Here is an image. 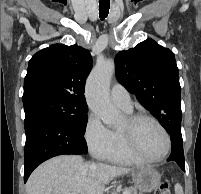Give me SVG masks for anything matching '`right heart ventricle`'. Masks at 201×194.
Instances as JSON below:
<instances>
[{"mask_svg": "<svg viewBox=\"0 0 201 194\" xmlns=\"http://www.w3.org/2000/svg\"><path fill=\"white\" fill-rule=\"evenodd\" d=\"M124 111L128 114L132 112V110ZM113 137V146L103 159L115 164H138L143 162L128 150L120 129L113 131Z\"/></svg>", "mask_w": 201, "mask_h": 194, "instance_id": "e07e8e85", "label": "right heart ventricle"}]
</instances>
